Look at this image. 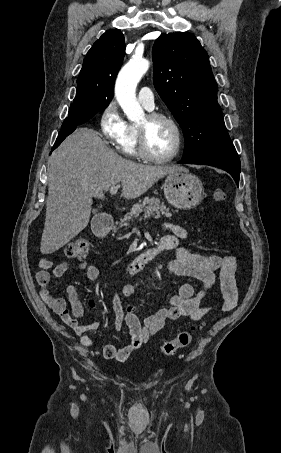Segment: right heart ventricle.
I'll return each instance as SVG.
<instances>
[{
    "instance_id": "e07e8e85",
    "label": "right heart ventricle",
    "mask_w": 281,
    "mask_h": 453,
    "mask_svg": "<svg viewBox=\"0 0 281 453\" xmlns=\"http://www.w3.org/2000/svg\"><path fill=\"white\" fill-rule=\"evenodd\" d=\"M117 144L119 152L123 155L128 157L138 156V125L133 122L126 123L124 133Z\"/></svg>"
}]
</instances>
